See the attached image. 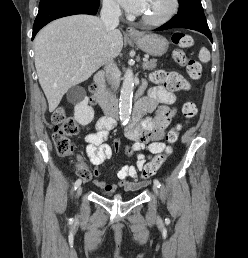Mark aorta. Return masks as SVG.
Returning <instances> with one entry per match:
<instances>
[{
    "mask_svg": "<svg viewBox=\"0 0 248 258\" xmlns=\"http://www.w3.org/2000/svg\"><path fill=\"white\" fill-rule=\"evenodd\" d=\"M133 90L134 75L132 69L128 68L126 69L124 74L119 101V115L120 121L123 125H126L130 118L132 109Z\"/></svg>",
    "mask_w": 248,
    "mask_h": 258,
    "instance_id": "762f6f07",
    "label": "aorta"
}]
</instances>
